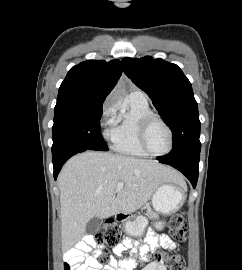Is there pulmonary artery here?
<instances>
[{"instance_id":"1","label":"pulmonary artery","mask_w":242,"mask_h":270,"mask_svg":"<svg viewBox=\"0 0 242 270\" xmlns=\"http://www.w3.org/2000/svg\"><path fill=\"white\" fill-rule=\"evenodd\" d=\"M134 96L141 98V99H146V95L144 92H142L141 90H136L132 93Z\"/></svg>"}]
</instances>
